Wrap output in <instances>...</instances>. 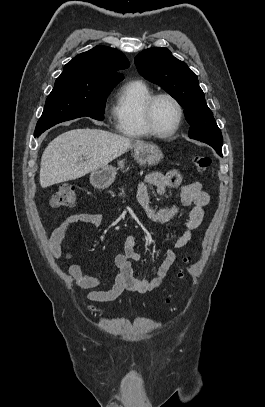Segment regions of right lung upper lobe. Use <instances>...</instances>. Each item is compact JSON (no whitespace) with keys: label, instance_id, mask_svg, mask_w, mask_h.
<instances>
[{"label":"right lung upper lobe","instance_id":"right-lung-upper-lobe-1","mask_svg":"<svg viewBox=\"0 0 265 407\" xmlns=\"http://www.w3.org/2000/svg\"><path fill=\"white\" fill-rule=\"evenodd\" d=\"M129 61L119 50L96 46L75 56L64 67L59 77L71 78L77 82L119 83L124 76L115 73L129 67Z\"/></svg>","mask_w":265,"mask_h":407}]
</instances>
